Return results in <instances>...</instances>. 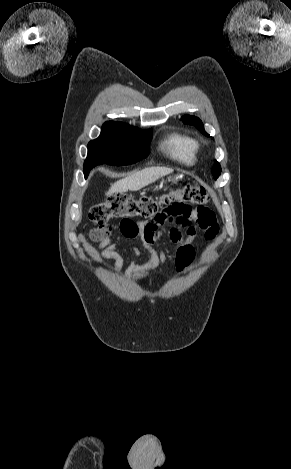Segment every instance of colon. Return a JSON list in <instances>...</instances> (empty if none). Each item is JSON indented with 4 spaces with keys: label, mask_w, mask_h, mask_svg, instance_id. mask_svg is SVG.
I'll list each match as a JSON object with an SVG mask.
<instances>
[{
    "label": "colon",
    "mask_w": 291,
    "mask_h": 469,
    "mask_svg": "<svg viewBox=\"0 0 291 469\" xmlns=\"http://www.w3.org/2000/svg\"><path fill=\"white\" fill-rule=\"evenodd\" d=\"M209 202L206 189L202 186L185 185L172 189L159 197L142 196L140 198L116 194L100 202L89 210V220L98 226V230L107 233L109 221L131 220L134 217L153 219L188 212L191 208L186 203L197 205L202 216L210 211L205 205Z\"/></svg>",
    "instance_id": "1"
}]
</instances>
